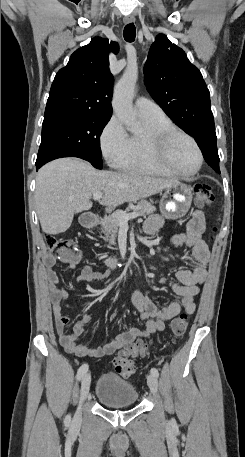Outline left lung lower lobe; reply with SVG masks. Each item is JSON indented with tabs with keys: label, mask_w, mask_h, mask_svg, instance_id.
Returning <instances> with one entry per match:
<instances>
[{
	"label": "left lung lower lobe",
	"mask_w": 245,
	"mask_h": 457,
	"mask_svg": "<svg viewBox=\"0 0 245 457\" xmlns=\"http://www.w3.org/2000/svg\"><path fill=\"white\" fill-rule=\"evenodd\" d=\"M198 146L200 147L205 161L211 166L217 173L219 170V156L217 151V140L215 129L206 131L200 138L196 139Z\"/></svg>",
	"instance_id": "1"
}]
</instances>
